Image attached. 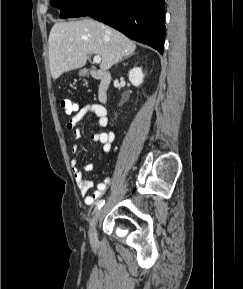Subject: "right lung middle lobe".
<instances>
[{
    "instance_id": "obj_1",
    "label": "right lung middle lobe",
    "mask_w": 243,
    "mask_h": 289,
    "mask_svg": "<svg viewBox=\"0 0 243 289\" xmlns=\"http://www.w3.org/2000/svg\"><path fill=\"white\" fill-rule=\"evenodd\" d=\"M89 0H50V3L60 9L62 18H69L76 10Z\"/></svg>"
}]
</instances>
